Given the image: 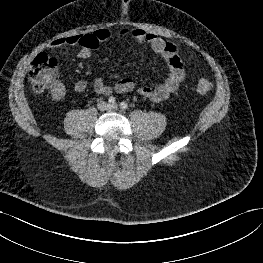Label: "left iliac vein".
Instances as JSON below:
<instances>
[{"label":"left iliac vein","mask_w":263,"mask_h":263,"mask_svg":"<svg viewBox=\"0 0 263 263\" xmlns=\"http://www.w3.org/2000/svg\"><path fill=\"white\" fill-rule=\"evenodd\" d=\"M110 110H117L118 109V105L117 104H113L109 106Z\"/></svg>","instance_id":"obj_1"}]
</instances>
